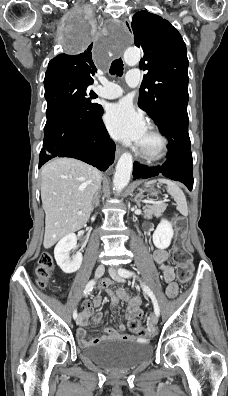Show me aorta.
<instances>
[{
    "instance_id": "1",
    "label": "aorta",
    "mask_w": 228,
    "mask_h": 396,
    "mask_svg": "<svg viewBox=\"0 0 228 396\" xmlns=\"http://www.w3.org/2000/svg\"><path fill=\"white\" fill-rule=\"evenodd\" d=\"M141 58L140 51L134 48H127L124 52L125 63L129 66H135L139 63ZM133 169V158L129 152L123 153L116 165V172L114 174L113 185L114 190L120 193L129 183L130 176Z\"/></svg>"
}]
</instances>
